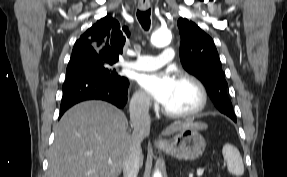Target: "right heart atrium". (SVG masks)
Returning a JSON list of instances; mask_svg holds the SVG:
<instances>
[{"label": "right heart atrium", "instance_id": "1", "mask_svg": "<svg viewBox=\"0 0 287 177\" xmlns=\"http://www.w3.org/2000/svg\"><path fill=\"white\" fill-rule=\"evenodd\" d=\"M152 103L148 96L141 90H137L131 99V109L135 114H146L150 111Z\"/></svg>", "mask_w": 287, "mask_h": 177}]
</instances>
